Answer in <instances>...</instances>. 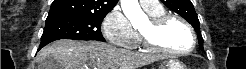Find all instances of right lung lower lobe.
I'll list each match as a JSON object with an SVG mask.
<instances>
[{
  "label": "right lung lower lobe",
  "mask_w": 246,
  "mask_h": 69,
  "mask_svg": "<svg viewBox=\"0 0 246 69\" xmlns=\"http://www.w3.org/2000/svg\"><path fill=\"white\" fill-rule=\"evenodd\" d=\"M50 42H52V41L41 42V43H40V48H39V49H41L42 47H44L45 45H47V44L50 43Z\"/></svg>",
  "instance_id": "obj_1"
}]
</instances>
